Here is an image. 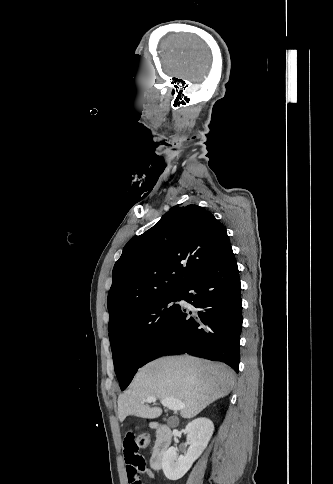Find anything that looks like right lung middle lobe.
<instances>
[{"label": "right lung middle lobe", "instance_id": "dd1d6c3e", "mask_svg": "<svg viewBox=\"0 0 333 484\" xmlns=\"http://www.w3.org/2000/svg\"><path fill=\"white\" fill-rule=\"evenodd\" d=\"M179 294L176 291L151 299L108 326L114 369L122 390L131 382L153 339L178 308Z\"/></svg>", "mask_w": 333, "mask_h": 484}]
</instances>
